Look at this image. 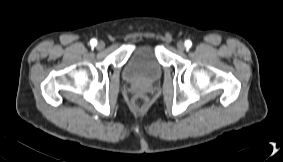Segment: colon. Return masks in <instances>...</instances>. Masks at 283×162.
Wrapping results in <instances>:
<instances>
[{"mask_svg":"<svg viewBox=\"0 0 283 162\" xmlns=\"http://www.w3.org/2000/svg\"><path fill=\"white\" fill-rule=\"evenodd\" d=\"M147 103V99L144 95H136L133 99V104L136 108L141 109L144 108Z\"/></svg>","mask_w":283,"mask_h":162,"instance_id":"5ec220e1","label":"colon"}]
</instances>
